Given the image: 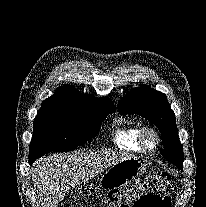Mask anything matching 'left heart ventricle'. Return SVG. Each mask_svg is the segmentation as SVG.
I'll use <instances>...</instances> for the list:
<instances>
[{
  "label": "left heart ventricle",
  "instance_id": "left-heart-ventricle-1",
  "mask_svg": "<svg viewBox=\"0 0 206 207\" xmlns=\"http://www.w3.org/2000/svg\"><path fill=\"white\" fill-rule=\"evenodd\" d=\"M148 142L152 143L153 142V138L151 136H148Z\"/></svg>",
  "mask_w": 206,
  "mask_h": 207
}]
</instances>
